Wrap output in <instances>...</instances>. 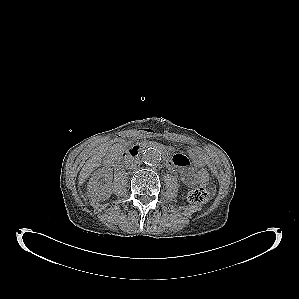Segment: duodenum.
Wrapping results in <instances>:
<instances>
[{
	"instance_id": "410a0bca",
	"label": "duodenum",
	"mask_w": 299,
	"mask_h": 299,
	"mask_svg": "<svg viewBox=\"0 0 299 299\" xmlns=\"http://www.w3.org/2000/svg\"><path fill=\"white\" fill-rule=\"evenodd\" d=\"M143 147L141 145H133L127 150H125L117 159L119 165L126 164L131 159H134L139 156ZM166 163L168 166H171V160L166 158Z\"/></svg>"
}]
</instances>
